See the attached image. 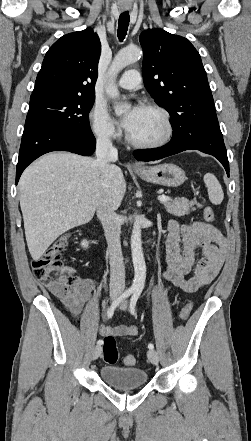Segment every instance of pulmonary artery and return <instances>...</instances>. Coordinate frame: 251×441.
I'll return each instance as SVG.
<instances>
[{"mask_svg":"<svg viewBox=\"0 0 251 441\" xmlns=\"http://www.w3.org/2000/svg\"><path fill=\"white\" fill-rule=\"evenodd\" d=\"M141 77L138 71L129 70L123 74L118 81L119 87L126 90H133L140 84Z\"/></svg>","mask_w":251,"mask_h":441,"instance_id":"pulmonary-artery-1","label":"pulmonary artery"}]
</instances>
